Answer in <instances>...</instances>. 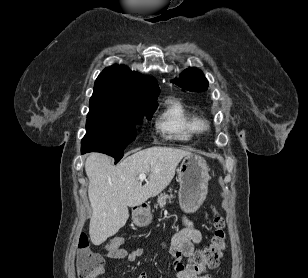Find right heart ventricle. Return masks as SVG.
Returning <instances> with one entry per match:
<instances>
[{
	"label": "right heart ventricle",
	"mask_w": 308,
	"mask_h": 278,
	"mask_svg": "<svg viewBox=\"0 0 308 278\" xmlns=\"http://www.w3.org/2000/svg\"><path fill=\"white\" fill-rule=\"evenodd\" d=\"M199 118L178 100H168L156 121L160 132L168 139L190 141L200 133Z\"/></svg>",
	"instance_id": "1"
}]
</instances>
